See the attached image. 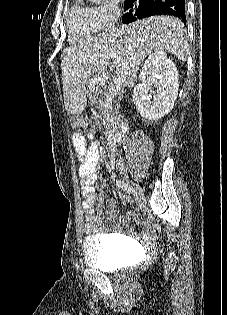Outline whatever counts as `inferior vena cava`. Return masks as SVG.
<instances>
[{
	"mask_svg": "<svg viewBox=\"0 0 227 315\" xmlns=\"http://www.w3.org/2000/svg\"><path fill=\"white\" fill-rule=\"evenodd\" d=\"M120 18V10L117 7L113 8L112 11V15H111V24L109 25V32L115 31L116 27H115V23L118 21V19Z\"/></svg>",
	"mask_w": 227,
	"mask_h": 315,
	"instance_id": "1",
	"label": "inferior vena cava"
}]
</instances>
